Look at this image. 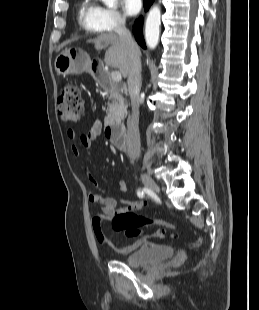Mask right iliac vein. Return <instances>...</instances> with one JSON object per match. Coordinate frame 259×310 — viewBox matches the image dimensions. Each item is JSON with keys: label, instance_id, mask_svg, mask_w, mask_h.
<instances>
[{"label": "right iliac vein", "instance_id": "63e3f726", "mask_svg": "<svg viewBox=\"0 0 259 310\" xmlns=\"http://www.w3.org/2000/svg\"><path fill=\"white\" fill-rule=\"evenodd\" d=\"M140 177H141V180H142V182L146 188H148L149 190L156 192V193L160 192L159 186L156 184V182L148 174L141 173Z\"/></svg>", "mask_w": 259, "mask_h": 310}]
</instances>
